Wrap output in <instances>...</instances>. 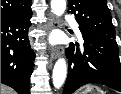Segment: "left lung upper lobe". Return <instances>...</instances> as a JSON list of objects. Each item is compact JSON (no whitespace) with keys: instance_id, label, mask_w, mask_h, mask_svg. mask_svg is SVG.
<instances>
[{"instance_id":"5c2ea615","label":"left lung upper lobe","mask_w":121,"mask_h":94,"mask_svg":"<svg viewBox=\"0 0 121 94\" xmlns=\"http://www.w3.org/2000/svg\"><path fill=\"white\" fill-rule=\"evenodd\" d=\"M68 9L75 15L81 32L115 39V28L106 0H68Z\"/></svg>"}]
</instances>
